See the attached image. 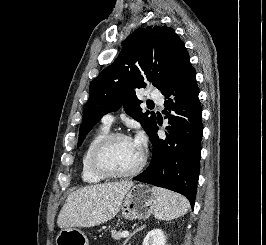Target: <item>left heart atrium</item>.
<instances>
[{
    "mask_svg": "<svg viewBox=\"0 0 266 245\" xmlns=\"http://www.w3.org/2000/svg\"><path fill=\"white\" fill-rule=\"evenodd\" d=\"M132 141L140 149L143 142L142 135L138 134L134 139H132Z\"/></svg>",
    "mask_w": 266,
    "mask_h": 245,
    "instance_id": "1",
    "label": "left heart atrium"
}]
</instances>
